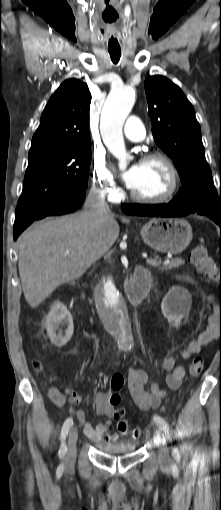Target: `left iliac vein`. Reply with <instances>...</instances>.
Wrapping results in <instances>:
<instances>
[{
    "label": "left iliac vein",
    "instance_id": "4c4485c4",
    "mask_svg": "<svg viewBox=\"0 0 221 510\" xmlns=\"http://www.w3.org/2000/svg\"><path fill=\"white\" fill-rule=\"evenodd\" d=\"M155 440L160 443L159 461L162 466H166L168 463L169 454L165 444V440L160 430L155 431Z\"/></svg>",
    "mask_w": 221,
    "mask_h": 510
}]
</instances>
